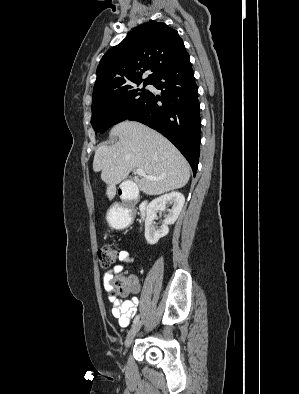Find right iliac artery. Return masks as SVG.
<instances>
[{
    "label": "right iliac artery",
    "mask_w": 299,
    "mask_h": 394,
    "mask_svg": "<svg viewBox=\"0 0 299 394\" xmlns=\"http://www.w3.org/2000/svg\"><path fill=\"white\" fill-rule=\"evenodd\" d=\"M139 317H140V316L137 315V316L134 318V320H133V325L136 324V323L139 321Z\"/></svg>",
    "instance_id": "right-iliac-artery-1"
}]
</instances>
